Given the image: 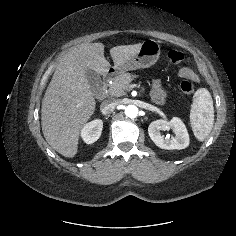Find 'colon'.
Instances as JSON below:
<instances>
[{
  "mask_svg": "<svg viewBox=\"0 0 236 236\" xmlns=\"http://www.w3.org/2000/svg\"><path fill=\"white\" fill-rule=\"evenodd\" d=\"M168 59L172 64L178 65L183 63L185 57L184 54L179 50H170L168 52ZM180 89L184 94L190 95L194 92L193 83L185 79L180 83Z\"/></svg>",
  "mask_w": 236,
  "mask_h": 236,
  "instance_id": "5ec220e1",
  "label": "colon"
}]
</instances>
